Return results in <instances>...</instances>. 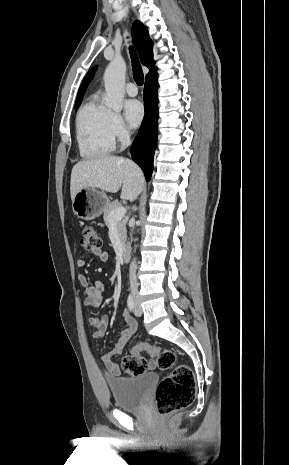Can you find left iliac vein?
Instances as JSON below:
<instances>
[{
  "label": "left iliac vein",
  "mask_w": 289,
  "mask_h": 465,
  "mask_svg": "<svg viewBox=\"0 0 289 465\" xmlns=\"http://www.w3.org/2000/svg\"><path fill=\"white\" fill-rule=\"evenodd\" d=\"M134 314H135L136 316H141V314H142V310H141V308H140L139 301H138L137 298H136V300H135V310H134Z\"/></svg>",
  "instance_id": "left-iliac-vein-1"
}]
</instances>
